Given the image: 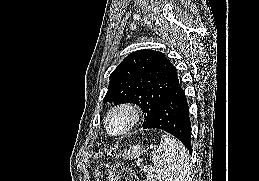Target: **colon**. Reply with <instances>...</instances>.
<instances>
[{"label":"colon","mask_w":259,"mask_h":181,"mask_svg":"<svg viewBox=\"0 0 259 181\" xmlns=\"http://www.w3.org/2000/svg\"><path fill=\"white\" fill-rule=\"evenodd\" d=\"M96 181H136L130 168L122 164H100L95 170Z\"/></svg>","instance_id":"colon-1"}]
</instances>
